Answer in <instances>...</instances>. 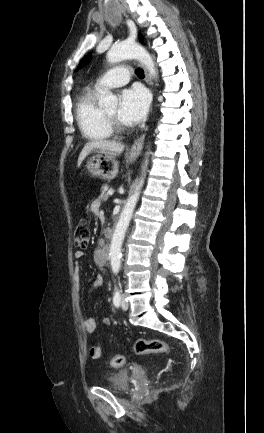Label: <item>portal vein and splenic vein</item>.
Listing matches in <instances>:
<instances>
[{
    "label": "portal vein and splenic vein",
    "instance_id": "18ae733b",
    "mask_svg": "<svg viewBox=\"0 0 264 433\" xmlns=\"http://www.w3.org/2000/svg\"><path fill=\"white\" fill-rule=\"evenodd\" d=\"M114 191L113 190H109L108 191V195H113Z\"/></svg>",
    "mask_w": 264,
    "mask_h": 433
}]
</instances>
